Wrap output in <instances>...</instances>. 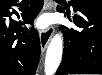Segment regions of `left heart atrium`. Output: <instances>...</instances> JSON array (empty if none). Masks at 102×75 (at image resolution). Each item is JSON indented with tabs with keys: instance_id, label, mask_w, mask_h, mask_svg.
<instances>
[{
	"instance_id": "1",
	"label": "left heart atrium",
	"mask_w": 102,
	"mask_h": 75,
	"mask_svg": "<svg viewBox=\"0 0 102 75\" xmlns=\"http://www.w3.org/2000/svg\"><path fill=\"white\" fill-rule=\"evenodd\" d=\"M50 24V20L46 16H42L37 21V26L40 28H46Z\"/></svg>"
}]
</instances>
